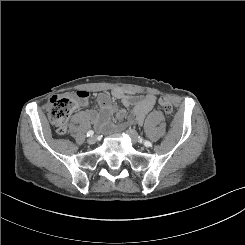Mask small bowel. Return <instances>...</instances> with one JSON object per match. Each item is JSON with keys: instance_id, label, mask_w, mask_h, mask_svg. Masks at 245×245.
Wrapping results in <instances>:
<instances>
[{"instance_id": "small-bowel-1", "label": "small bowel", "mask_w": 245, "mask_h": 245, "mask_svg": "<svg viewBox=\"0 0 245 245\" xmlns=\"http://www.w3.org/2000/svg\"><path fill=\"white\" fill-rule=\"evenodd\" d=\"M112 97L116 98L119 103H113ZM97 101L99 110L89 112V117L94 125L102 129L108 124L111 115L115 113L117 128L122 129L126 124H143L147 114L155 107L156 97L151 94L135 96L123 90L115 89L110 94L107 92L99 93ZM80 104L85 105L86 100ZM129 107H132V113L126 116V109Z\"/></svg>"}]
</instances>
